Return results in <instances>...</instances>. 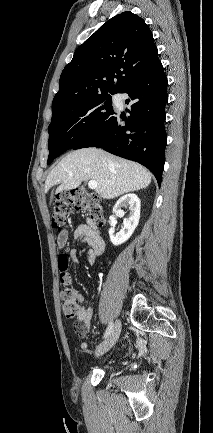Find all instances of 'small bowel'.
Listing matches in <instances>:
<instances>
[{
    "mask_svg": "<svg viewBox=\"0 0 213 433\" xmlns=\"http://www.w3.org/2000/svg\"><path fill=\"white\" fill-rule=\"evenodd\" d=\"M68 231L63 230L59 232L57 236V246L59 249H62L67 240H68ZM73 237L76 241L80 242L81 244H87L89 247L86 249L87 254V261L89 264H93L98 256H100L105 248L104 241L102 240L101 236L97 235L90 227L86 225H79L75 228L73 232ZM69 262L78 264V254L75 249H72L67 254ZM61 271V270H60ZM62 272V271H61ZM67 273V270L64 271ZM78 293V292H77ZM78 299L82 300V295L78 293ZM91 316H92V308L91 307H81L77 318L81 322L80 328L81 331L79 335H85L89 332L91 328ZM81 350H87L88 349V343L85 341H82L79 345Z\"/></svg>",
    "mask_w": 213,
    "mask_h": 433,
    "instance_id": "1",
    "label": "small bowel"
}]
</instances>
